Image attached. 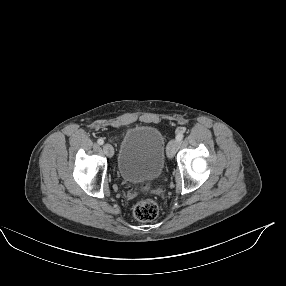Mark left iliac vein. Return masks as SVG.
Here are the masks:
<instances>
[{"label": "left iliac vein", "mask_w": 286, "mask_h": 286, "mask_svg": "<svg viewBox=\"0 0 286 286\" xmlns=\"http://www.w3.org/2000/svg\"><path fill=\"white\" fill-rule=\"evenodd\" d=\"M179 146V142L176 139L171 140L167 146V157L173 158Z\"/></svg>", "instance_id": "left-iliac-vein-1"}]
</instances>
